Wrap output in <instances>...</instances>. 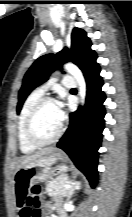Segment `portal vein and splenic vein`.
I'll use <instances>...</instances> for the list:
<instances>
[{"mask_svg":"<svg viewBox=\"0 0 132 217\" xmlns=\"http://www.w3.org/2000/svg\"><path fill=\"white\" fill-rule=\"evenodd\" d=\"M70 187H71L70 184H67V185L65 186L66 189H69Z\"/></svg>","mask_w":132,"mask_h":217,"instance_id":"18ae733b","label":"portal vein and splenic vein"}]
</instances>
